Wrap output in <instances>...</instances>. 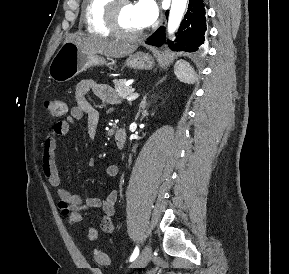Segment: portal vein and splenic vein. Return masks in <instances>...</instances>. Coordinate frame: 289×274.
<instances>
[{"instance_id":"1","label":"portal vein and splenic vein","mask_w":289,"mask_h":274,"mask_svg":"<svg viewBox=\"0 0 289 274\" xmlns=\"http://www.w3.org/2000/svg\"><path fill=\"white\" fill-rule=\"evenodd\" d=\"M138 96H139V94L133 93V94H130L126 99H127V101H133V100H135Z\"/></svg>"}]
</instances>
